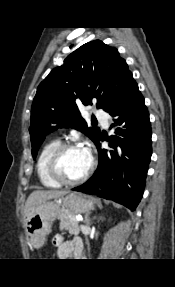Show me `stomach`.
I'll return each instance as SVG.
<instances>
[{
	"instance_id": "stomach-1",
	"label": "stomach",
	"mask_w": 175,
	"mask_h": 287,
	"mask_svg": "<svg viewBox=\"0 0 175 287\" xmlns=\"http://www.w3.org/2000/svg\"><path fill=\"white\" fill-rule=\"evenodd\" d=\"M94 208L92 200L77 192H69L66 196L47 200L30 210L25 216V232L28 244L40 248L51 232L53 220L59 218L64 210L70 213H86Z\"/></svg>"
}]
</instances>
